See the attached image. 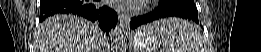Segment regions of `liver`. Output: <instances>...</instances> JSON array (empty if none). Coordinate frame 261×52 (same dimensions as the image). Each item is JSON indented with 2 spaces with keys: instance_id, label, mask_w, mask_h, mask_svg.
<instances>
[{
  "instance_id": "obj_1",
  "label": "liver",
  "mask_w": 261,
  "mask_h": 52,
  "mask_svg": "<svg viewBox=\"0 0 261 52\" xmlns=\"http://www.w3.org/2000/svg\"><path fill=\"white\" fill-rule=\"evenodd\" d=\"M102 49L98 25L71 14L47 18L35 36V52H102Z\"/></svg>"
}]
</instances>
